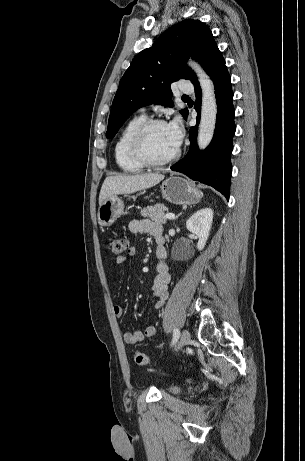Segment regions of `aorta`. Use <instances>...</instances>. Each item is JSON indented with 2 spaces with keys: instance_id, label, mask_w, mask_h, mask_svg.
I'll return each instance as SVG.
<instances>
[{
  "instance_id": "obj_1",
  "label": "aorta",
  "mask_w": 305,
  "mask_h": 461,
  "mask_svg": "<svg viewBox=\"0 0 305 461\" xmlns=\"http://www.w3.org/2000/svg\"><path fill=\"white\" fill-rule=\"evenodd\" d=\"M189 65L196 72L202 89L201 119L197 142L200 149H205L210 144L215 131L217 116L215 90L213 82L198 63L191 61Z\"/></svg>"
}]
</instances>
